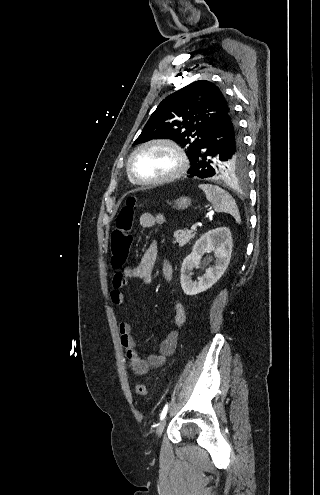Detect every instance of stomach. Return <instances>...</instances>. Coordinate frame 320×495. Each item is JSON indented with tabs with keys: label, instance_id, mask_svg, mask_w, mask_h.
I'll return each mask as SVG.
<instances>
[{
	"label": "stomach",
	"instance_id": "1",
	"mask_svg": "<svg viewBox=\"0 0 320 495\" xmlns=\"http://www.w3.org/2000/svg\"><path fill=\"white\" fill-rule=\"evenodd\" d=\"M191 205V199L188 197H180L175 201V207L178 209H185Z\"/></svg>",
	"mask_w": 320,
	"mask_h": 495
}]
</instances>
